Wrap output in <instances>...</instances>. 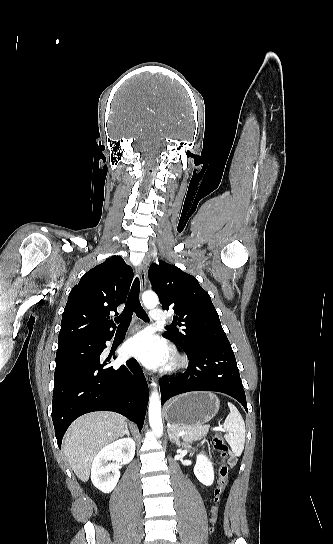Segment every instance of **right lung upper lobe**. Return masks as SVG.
I'll list each match as a JSON object with an SVG mask.
<instances>
[{
    "instance_id": "1",
    "label": "right lung upper lobe",
    "mask_w": 333,
    "mask_h": 544,
    "mask_svg": "<svg viewBox=\"0 0 333 544\" xmlns=\"http://www.w3.org/2000/svg\"><path fill=\"white\" fill-rule=\"evenodd\" d=\"M132 279L131 267L120 256H112L85 273L69 294L58 345L113 335L116 327L109 314H118L117 307L125 302Z\"/></svg>"
}]
</instances>
